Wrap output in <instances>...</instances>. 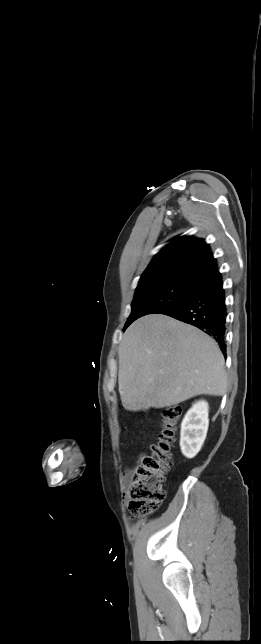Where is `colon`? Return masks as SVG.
<instances>
[{
	"mask_svg": "<svg viewBox=\"0 0 261 644\" xmlns=\"http://www.w3.org/2000/svg\"><path fill=\"white\" fill-rule=\"evenodd\" d=\"M182 409L179 405L162 411V429L158 442L151 447V455L145 456L138 466L136 478L130 485L131 513L138 518L156 511L165 498L163 485L168 470L173 464L172 447Z\"/></svg>",
	"mask_w": 261,
	"mask_h": 644,
	"instance_id": "5ec220e1",
	"label": "colon"
}]
</instances>
